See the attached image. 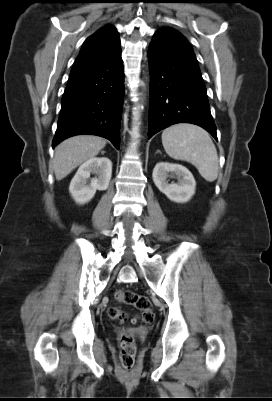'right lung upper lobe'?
<instances>
[{"label": "right lung upper lobe", "mask_w": 272, "mask_h": 401, "mask_svg": "<svg viewBox=\"0 0 272 401\" xmlns=\"http://www.w3.org/2000/svg\"><path fill=\"white\" fill-rule=\"evenodd\" d=\"M119 47L120 41L116 28L112 25L103 26L85 40L70 74L95 64Z\"/></svg>", "instance_id": "right-lung-upper-lobe-1"}]
</instances>
